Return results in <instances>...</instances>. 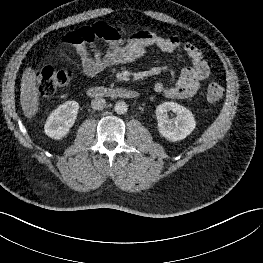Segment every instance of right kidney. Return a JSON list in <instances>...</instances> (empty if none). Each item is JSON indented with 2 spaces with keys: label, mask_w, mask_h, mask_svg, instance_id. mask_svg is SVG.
Masks as SVG:
<instances>
[{
  "label": "right kidney",
  "mask_w": 263,
  "mask_h": 263,
  "mask_svg": "<svg viewBox=\"0 0 263 263\" xmlns=\"http://www.w3.org/2000/svg\"><path fill=\"white\" fill-rule=\"evenodd\" d=\"M79 110V104L76 101H66L54 110L48 117L44 132L53 139L65 137L70 128L74 125Z\"/></svg>",
  "instance_id": "right-kidney-1"
}]
</instances>
